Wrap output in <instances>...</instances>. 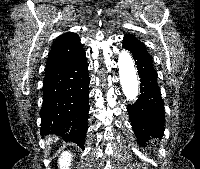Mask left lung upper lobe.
I'll return each instance as SVG.
<instances>
[{"label":"left lung upper lobe","instance_id":"left-lung-upper-lobe-1","mask_svg":"<svg viewBox=\"0 0 200 169\" xmlns=\"http://www.w3.org/2000/svg\"><path fill=\"white\" fill-rule=\"evenodd\" d=\"M124 39L126 41H128L134 49H136L138 51L147 52L145 45L142 42L138 41L133 35L127 34V35H125Z\"/></svg>","mask_w":200,"mask_h":169}]
</instances>
